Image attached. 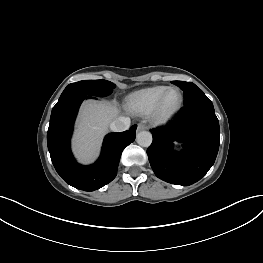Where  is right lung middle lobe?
<instances>
[{"label": "right lung middle lobe", "instance_id": "right-lung-middle-lobe-1", "mask_svg": "<svg viewBox=\"0 0 263 263\" xmlns=\"http://www.w3.org/2000/svg\"><path fill=\"white\" fill-rule=\"evenodd\" d=\"M115 85L107 80H83L69 84L61 94L59 101L72 95L105 97L112 93Z\"/></svg>", "mask_w": 263, "mask_h": 263}]
</instances>
